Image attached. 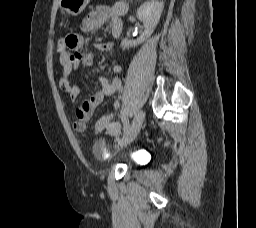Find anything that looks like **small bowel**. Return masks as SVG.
<instances>
[{
  "label": "small bowel",
  "instance_id": "1",
  "mask_svg": "<svg viewBox=\"0 0 256 228\" xmlns=\"http://www.w3.org/2000/svg\"><path fill=\"white\" fill-rule=\"evenodd\" d=\"M127 6L122 1H116L112 5H99L91 11L82 23V32L89 33L102 27L107 22H111L112 29L115 34L121 30L120 18L126 13ZM62 40L59 50V62L62 66L63 75L59 81L60 89L69 95L72 100H76L80 95L79 87L72 83L70 76L73 71L82 66H90L92 64V56L84 50L85 38L82 34H68ZM101 51H111L113 44L111 42H101L96 45ZM112 73L114 77L107 79L100 78V89L96 91L89 100L78 105L75 110L76 120L73 127L77 132L86 130L87 122L92 117L95 109L102 104L106 96L115 95L122 88L120 74L122 66L113 64ZM110 134H118L120 126L112 122L107 127Z\"/></svg>",
  "mask_w": 256,
  "mask_h": 228
}]
</instances>
